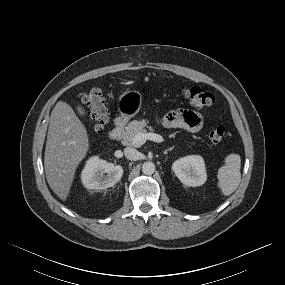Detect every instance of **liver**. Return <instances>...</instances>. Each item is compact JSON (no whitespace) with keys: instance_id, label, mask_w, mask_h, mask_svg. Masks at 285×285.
I'll return each mask as SVG.
<instances>
[{"instance_id":"1","label":"liver","mask_w":285,"mask_h":285,"mask_svg":"<svg viewBox=\"0 0 285 285\" xmlns=\"http://www.w3.org/2000/svg\"><path fill=\"white\" fill-rule=\"evenodd\" d=\"M88 149L85 126L69 104L57 102L49 122L44 168L50 188L61 200L67 199L76 168Z\"/></svg>"}]
</instances>
